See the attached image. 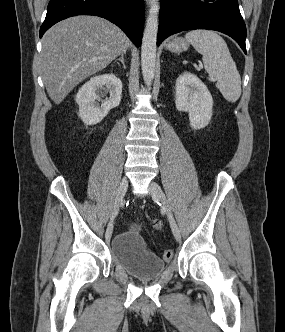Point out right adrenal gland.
<instances>
[{"label": "right adrenal gland", "instance_id": "right-adrenal-gland-1", "mask_svg": "<svg viewBox=\"0 0 285 332\" xmlns=\"http://www.w3.org/2000/svg\"><path fill=\"white\" fill-rule=\"evenodd\" d=\"M125 54H126V53L122 54L121 57H120L119 59L115 60V62L120 61V62L122 63V65H123L124 68H126L125 63H124V55H125Z\"/></svg>", "mask_w": 285, "mask_h": 332}]
</instances>
